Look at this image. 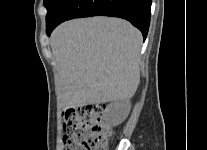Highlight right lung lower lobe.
<instances>
[{
  "label": "right lung lower lobe",
  "instance_id": "obj_1",
  "mask_svg": "<svg viewBox=\"0 0 207 150\" xmlns=\"http://www.w3.org/2000/svg\"><path fill=\"white\" fill-rule=\"evenodd\" d=\"M152 0H66L53 19L46 23V33L60 23L79 17L111 16L128 20L147 36Z\"/></svg>",
  "mask_w": 207,
  "mask_h": 150
}]
</instances>
